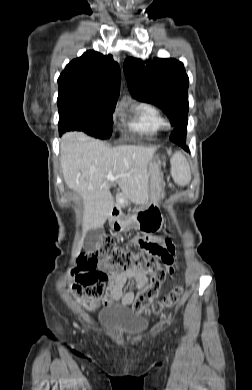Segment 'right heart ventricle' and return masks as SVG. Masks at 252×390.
I'll return each mask as SVG.
<instances>
[{
	"label": "right heart ventricle",
	"mask_w": 252,
	"mask_h": 390,
	"mask_svg": "<svg viewBox=\"0 0 252 390\" xmlns=\"http://www.w3.org/2000/svg\"><path fill=\"white\" fill-rule=\"evenodd\" d=\"M166 120L153 105L140 103L133 109V118L129 123L134 131L145 134H157L166 127Z\"/></svg>",
	"instance_id": "1"
}]
</instances>
